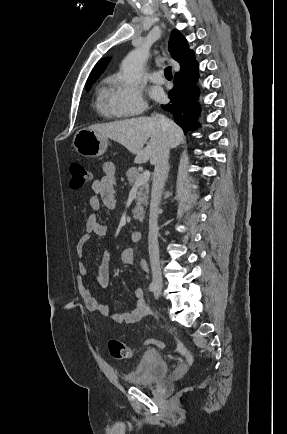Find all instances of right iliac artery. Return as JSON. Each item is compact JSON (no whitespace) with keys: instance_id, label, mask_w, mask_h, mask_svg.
Returning a JSON list of instances; mask_svg holds the SVG:
<instances>
[{"instance_id":"1","label":"right iliac artery","mask_w":287,"mask_h":434,"mask_svg":"<svg viewBox=\"0 0 287 434\" xmlns=\"http://www.w3.org/2000/svg\"><path fill=\"white\" fill-rule=\"evenodd\" d=\"M149 290H150L151 292H154V291L156 290V284H155L154 282H152V283L149 285Z\"/></svg>"}]
</instances>
